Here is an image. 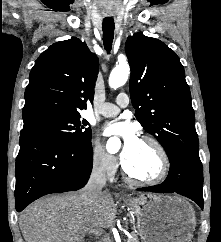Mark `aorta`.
I'll use <instances>...</instances> for the list:
<instances>
[{"instance_id":"762f6f07","label":"aorta","mask_w":221,"mask_h":242,"mask_svg":"<svg viewBox=\"0 0 221 242\" xmlns=\"http://www.w3.org/2000/svg\"><path fill=\"white\" fill-rule=\"evenodd\" d=\"M129 74H130V68L128 64L123 63L120 65H117L110 74L109 86L112 89H117L123 86L127 82ZM107 146L110 150L117 149L120 147V141L118 138H115V137L111 138L109 139Z\"/></svg>"}]
</instances>
